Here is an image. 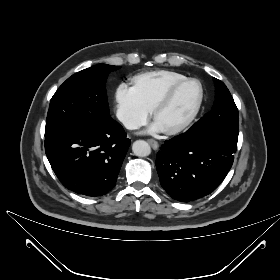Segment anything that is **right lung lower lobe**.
I'll list each match as a JSON object with an SVG mask.
<instances>
[{
  "mask_svg": "<svg viewBox=\"0 0 280 280\" xmlns=\"http://www.w3.org/2000/svg\"><path fill=\"white\" fill-rule=\"evenodd\" d=\"M130 144L114 120L104 126H62L45 135V152L60 182L71 191L93 197L114 188Z\"/></svg>",
  "mask_w": 280,
  "mask_h": 280,
  "instance_id": "right-lung-lower-lobe-1",
  "label": "right lung lower lobe"
}]
</instances>
